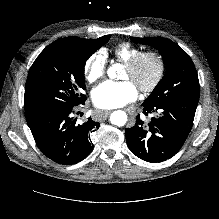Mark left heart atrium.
I'll list each match as a JSON object with an SVG mask.
<instances>
[{"mask_svg":"<svg viewBox=\"0 0 219 219\" xmlns=\"http://www.w3.org/2000/svg\"><path fill=\"white\" fill-rule=\"evenodd\" d=\"M137 95L136 86L129 80L105 81L93 90L92 100L100 109H113L134 101Z\"/></svg>","mask_w":219,"mask_h":219,"instance_id":"left-heart-atrium-1","label":"left heart atrium"}]
</instances>
